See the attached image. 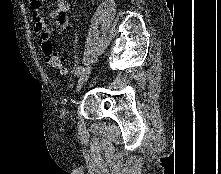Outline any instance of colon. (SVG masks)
Returning <instances> with one entry per match:
<instances>
[{
    "instance_id": "obj_1",
    "label": "colon",
    "mask_w": 221,
    "mask_h": 174,
    "mask_svg": "<svg viewBox=\"0 0 221 174\" xmlns=\"http://www.w3.org/2000/svg\"><path fill=\"white\" fill-rule=\"evenodd\" d=\"M42 37V44H41V49L44 53L46 62L61 71H66V63L65 60L60 57L53 48L52 42H51V36L47 33L41 34Z\"/></svg>"
}]
</instances>
